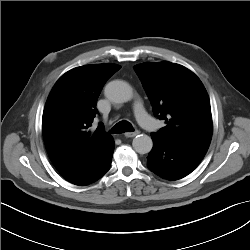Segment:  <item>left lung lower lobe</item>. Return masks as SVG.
I'll return each instance as SVG.
<instances>
[{
	"label": "left lung lower lobe",
	"mask_w": 250,
	"mask_h": 250,
	"mask_svg": "<svg viewBox=\"0 0 250 250\" xmlns=\"http://www.w3.org/2000/svg\"><path fill=\"white\" fill-rule=\"evenodd\" d=\"M153 148L147 157V167L167 180H178L191 173L205 156L208 147L168 142L151 134Z\"/></svg>",
	"instance_id": "left-lung-lower-lobe-1"
}]
</instances>
